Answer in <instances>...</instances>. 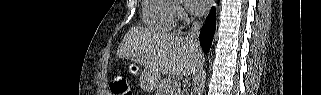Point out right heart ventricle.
Wrapping results in <instances>:
<instances>
[{
	"mask_svg": "<svg viewBox=\"0 0 321 95\" xmlns=\"http://www.w3.org/2000/svg\"><path fill=\"white\" fill-rule=\"evenodd\" d=\"M142 18L145 26L157 32H171L177 23L176 4L171 0H145Z\"/></svg>",
	"mask_w": 321,
	"mask_h": 95,
	"instance_id": "obj_1",
	"label": "right heart ventricle"
}]
</instances>
